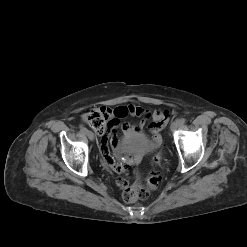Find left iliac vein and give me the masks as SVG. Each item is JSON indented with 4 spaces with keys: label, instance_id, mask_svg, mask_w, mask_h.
I'll return each mask as SVG.
<instances>
[{
    "label": "left iliac vein",
    "instance_id": "1",
    "mask_svg": "<svg viewBox=\"0 0 247 247\" xmlns=\"http://www.w3.org/2000/svg\"><path fill=\"white\" fill-rule=\"evenodd\" d=\"M179 126H180L179 122L174 121V122H172L170 129L173 131V130L177 129Z\"/></svg>",
    "mask_w": 247,
    "mask_h": 247
}]
</instances>
